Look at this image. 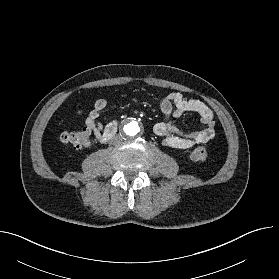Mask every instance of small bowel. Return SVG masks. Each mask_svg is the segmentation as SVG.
<instances>
[{
  "label": "small bowel",
  "instance_id": "c3829d8e",
  "mask_svg": "<svg viewBox=\"0 0 279 279\" xmlns=\"http://www.w3.org/2000/svg\"><path fill=\"white\" fill-rule=\"evenodd\" d=\"M108 106L106 99L95 101L93 110L85 120L86 127L91 130L96 139L103 143V135L107 128L103 126V112ZM164 120L154 126V132L162 138L165 146L172 149H190L195 145L204 144L215 136L214 115L212 110L202 101L186 98L181 92L175 91L165 95L160 101ZM193 112L200 116L204 128L190 134H182L171 123V118L180 117L184 113Z\"/></svg>",
  "mask_w": 279,
  "mask_h": 279
}]
</instances>
